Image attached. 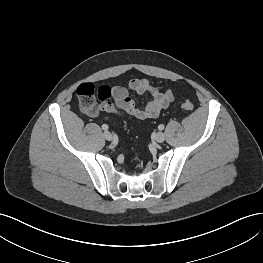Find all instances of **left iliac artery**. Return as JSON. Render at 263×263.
<instances>
[{"label":"left iliac artery","mask_w":263,"mask_h":263,"mask_svg":"<svg viewBox=\"0 0 263 263\" xmlns=\"http://www.w3.org/2000/svg\"><path fill=\"white\" fill-rule=\"evenodd\" d=\"M158 129H159V130H163V129H164V125H163V124H160V125L158 126Z\"/></svg>","instance_id":"1"}]
</instances>
